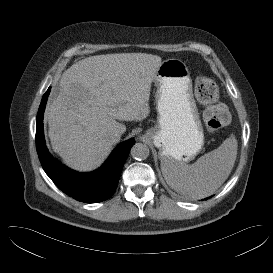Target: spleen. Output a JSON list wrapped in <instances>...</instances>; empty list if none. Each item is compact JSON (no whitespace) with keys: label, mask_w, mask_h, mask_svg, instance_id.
Instances as JSON below:
<instances>
[{"label":"spleen","mask_w":273,"mask_h":273,"mask_svg":"<svg viewBox=\"0 0 273 273\" xmlns=\"http://www.w3.org/2000/svg\"><path fill=\"white\" fill-rule=\"evenodd\" d=\"M238 143L232 134L191 165L161 162L167 184L176 192L199 199L212 195L228 178L237 157Z\"/></svg>","instance_id":"3e777b00"}]
</instances>
